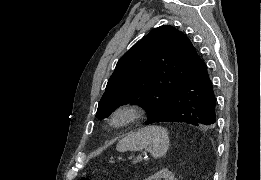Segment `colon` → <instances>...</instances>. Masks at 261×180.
<instances>
[{"instance_id":"1","label":"colon","mask_w":261,"mask_h":180,"mask_svg":"<svg viewBox=\"0 0 261 180\" xmlns=\"http://www.w3.org/2000/svg\"><path fill=\"white\" fill-rule=\"evenodd\" d=\"M82 180H90V177L88 175H83L81 177Z\"/></svg>"}]
</instances>
